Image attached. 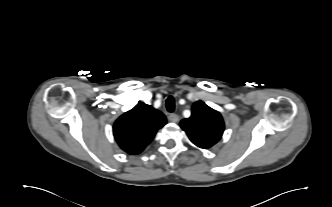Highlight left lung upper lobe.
Returning <instances> with one entry per match:
<instances>
[{
    "label": "left lung upper lobe",
    "mask_w": 332,
    "mask_h": 207,
    "mask_svg": "<svg viewBox=\"0 0 332 207\" xmlns=\"http://www.w3.org/2000/svg\"><path fill=\"white\" fill-rule=\"evenodd\" d=\"M180 126L192 143L203 149L216 144L224 131L221 114L202 101L193 104L191 117L183 119Z\"/></svg>",
    "instance_id": "obj_1"
}]
</instances>
